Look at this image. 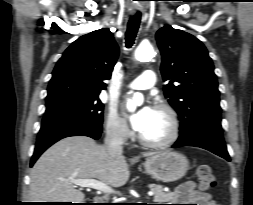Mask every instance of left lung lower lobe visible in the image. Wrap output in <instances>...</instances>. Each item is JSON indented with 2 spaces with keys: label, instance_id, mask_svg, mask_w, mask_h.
<instances>
[{
  "label": "left lung lower lobe",
  "instance_id": "left-lung-lower-lobe-1",
  "mask_svg": "<svg viewBox=\"0 0 253 205\" xmlns=\"http://www.w3.org/2000/svg\"><path fill=\"white\" fill-rule=\"evenodd\" d=\"M182 146H196L213 152L214 154L230 161L224 142L222 129L214 126H205L195 132L188 140L178 139L173 148Z\"/></svg>",
  "mask_w": 253,
  "mask_h": 205
}]
</instances>
